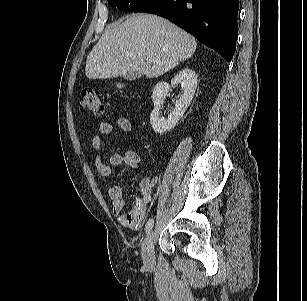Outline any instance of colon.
<instances>
[{
  "label": "colon",
  "mask_w": 307,
  "mask_h": 301,
  "mask_svg": "<svg viewBox=\"0 0 307 301\" xmlns=\"http://www.w3.org/2000/svg\"><path fill=\"white\" fill-rule=\"evenodd\" d=\"M80 104L83 110L94 115L101 116L104 112V107L99 95L89 89L80 91Z\"/></svg>",
  "instance_id": "5ec220e1"
}]
</instances>
